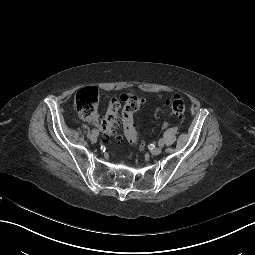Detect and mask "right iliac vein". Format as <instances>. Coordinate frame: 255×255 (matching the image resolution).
Returning <instances> with one entry per match:
<instances>
[{
    "mask_svg": "<svg viewBox=\"0 0 255 255\" xmlns=\"http://www.w3.org/2000/svg\"><path fill=\"white\" fill-rule=\"evenodd\" d=\"M90 140H91V142H93V143H96L97 142V135H95V134H91L90 135Z\"/></svg>",
    "mask_w": 255,
    "mask_h": 255,
    "instance_id": "1",
    "label": "right iliac vein"
}]
</instances>
